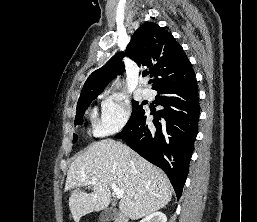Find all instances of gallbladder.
Returning <instances> with one entry per match:
<instances>
[{"label": "gallbladder", "instance_id": "1", "mask_svg": "<svg viewBox=\"0 0 257 222\" xmlns=\"http://www.w3.org/2000/svg\"><path fill=\"white\" fill-rule=\"evenodd\" d=\"M117 217V211L114 208L105 209L100 214L99 220L101 222H110Z\"/></svg>", "mask_w": 257, "mask_h": 222}]
</instances>
